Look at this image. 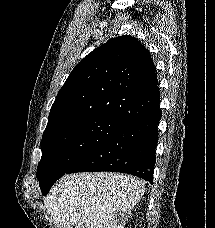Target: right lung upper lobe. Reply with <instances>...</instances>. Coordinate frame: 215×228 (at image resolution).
<instances>
[{
	"instance_id": "right-lung-upper-lobe-1",
	"label": "right lung upper lobe",
	"mask_w": 215,
	"mask_h": 228,
	"mask_svg": "<svg viewBox=\"0 0 215 228\" xmlns=\"http://www.w3.org/2000/svg\"><path fill=\"white\" fill-rule=\"evenodd\" d=\"M159 103L149 51L136 38L119 36L75 66L51 107L44 134L98 116L127 122Z\"/></svg>"
}]
</instances>
